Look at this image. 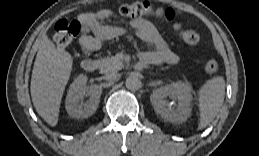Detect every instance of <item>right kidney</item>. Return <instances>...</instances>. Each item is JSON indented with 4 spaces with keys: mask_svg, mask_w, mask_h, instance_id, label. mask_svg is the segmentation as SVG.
Listing matches in <instances>:
<instances>
[{
    "mask_svg": "<svg viewBox=\"0 0 259 156\" xmlns=\"http://www.w3.org/2000/svg\"><path fill=\"white\" fill-rule=\"evenodd\" d=\"M87 79L84 74L78 75L68 90L65 106L68 114L73 118H88L99 105L102 89L98 85L87 87ZM85 96H89V100L81 103Z\"/></svg>",
    "mask_w": 259,
    "mask_h": 156,
    "instance_id": "right-kidney-1",
    "label": "right kidney"
}]
</instances>
